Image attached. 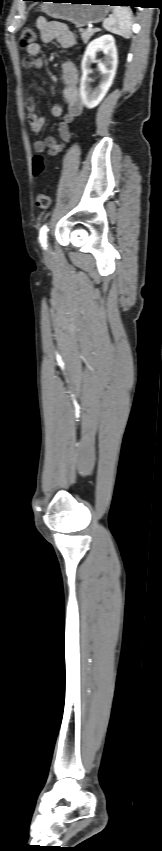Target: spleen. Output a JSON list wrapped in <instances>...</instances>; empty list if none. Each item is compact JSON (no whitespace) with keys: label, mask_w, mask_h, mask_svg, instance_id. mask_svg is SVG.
I'll list each match as a JSON object with an SVG mask.
<instances>
[{"label":"spleen","mask_w":162,"mask_h":851,"mask_svg":"<svg viewBox=\"0 0 162 851\" xmlns=\"http://www.w3.org/2000/svg\"><path fill=\"white\" fill-rule=\"evenodd\" d=\"M131 26L132 13L128 7H114L113 14L103 22V27L107 31L120 35L125 39L131 36Z\"/></svg>","instance_id":"spleen-1"}]
</instances>
